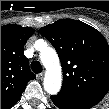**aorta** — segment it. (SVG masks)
Masks as SVG:
<instances>
[{
	"instance_id": "aorta-1",
	"label": "aorta",
	"mask_w": 109,
	"mask_h": 109,
	"mask_svg": "<svg viewBox=\"0 0 109 109\" xmlns=\"http://www.w3.org/2000/svg\"><path fill=\"white\" fill-rule=\"evenodd\" d=\"M40 59L46 68L44 89L47 93L55 95L62 85V69L58 55L53 48L46 46L40 51Z\"/></svg>"
}]
</instances>
